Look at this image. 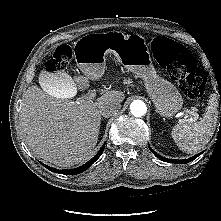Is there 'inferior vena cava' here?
I'll use <instances>...</instances> for the list:
<instances>
[{
    "label": "inferior vena cava",
    "instance_id": "1",
    "mask_svg": "<svg viewBox=\"0 0 221 221\" xmlns=\"http://www.w3.org/2000/svg\"><path fill=\"white\" fill-rule=\"evenodd\" d=\"M121 108L120 103H109L102 107L101 114L104 117H110L113 114L117 113Z\"/></svg>",
    "mask_w": 221,
    "mask_h": 221
}]
</instances>
